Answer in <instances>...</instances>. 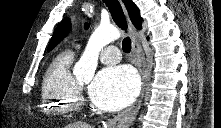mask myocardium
<instances>
[{
	"instance_id": "myocardium-1",
	"label": "myocardium",
	"mask_w": 221,
	"mask_h": 128,
	"mask_svg": "<svg viewBox=\"0 0 221 128\" xmlns=\"http://www.w3.org/2000/svg\"><path fill=\"white\" fill-rule=\"evenodd\" d=\"M84 103H85V100H84L83 96L76 90L73 108L79 109L84 105Z\"/></svg>"
}]
</instances>
